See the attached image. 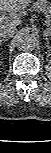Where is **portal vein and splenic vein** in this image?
Listing matches in <instances>:
<instances>
[{
  "label": "portal vein and splenic vein",
  "mask_w": 51,
  "mask_h": 153,
  "mask_svg": "<svg viewBox=\"0 0 51 153\" xmlns=\"http://www.w3.org/2000/svg\"><path fill=\"white\" fill-rule=\"evenodd\" d=\"M6 19V17H4V16H1V20L3 21V20H5Z\"/></svg>",
  "instance_id": "18ae733b"
}]
</instances>
